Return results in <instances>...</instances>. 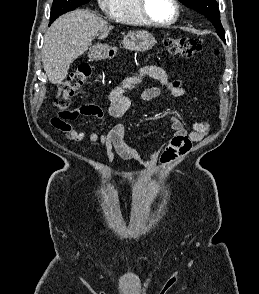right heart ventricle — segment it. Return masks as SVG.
<instances>
[{"label":"right heart ventricle","instance_id":"right-heart-ventricle-1","mask_svg":"<svg viewBox=\"0 0 259 294\" xmlns=\"http://www.w3.org/2000/svg\"><path fill=\"white\" fill-rule=\"evenodd\" d=\"M111 17L117 22L128 25L147 24L139 14L138 0H115Z\"/></svg>","mask_w":259,"mask_h":294}]
</instances>
